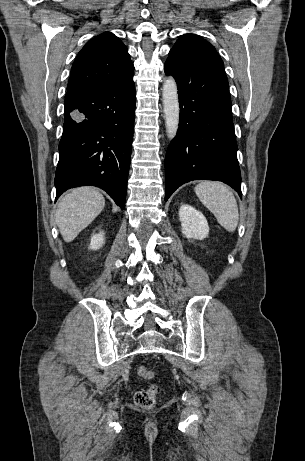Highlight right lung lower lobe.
I'll list each match as a JSON object with an SVG mask.
<instances>
[{
  "label": "right lung lower lobe",
  "mask_w": 305,
  "mask_h": 461,
  "mask_svg": "<svg viewBox=\"0 0 305 461\" xmlns=\"http://www.w3.org/2000/svg\"><path fill=\"white\" fill-rule=\"evenodd\" d=\"M55 175L56 200L69 188L96 186L123 210L133 139V75L108 86L66 93Z\"/></svg>",
  "instance_id": "98d812e1"
}]
</instances>
